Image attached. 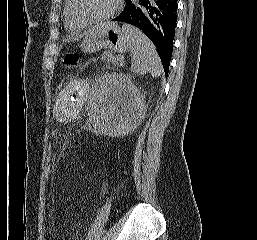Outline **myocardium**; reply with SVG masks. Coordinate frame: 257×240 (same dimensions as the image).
<instances>
[{"mask_svg":"<svg viewBox=\"0 0 257 240\" xmlns=\"http://www.w3.org/2000/svg\"><path fill=\"white\" fill-rule=\"evenodd\" d=\"M121 1L122 0H115L114 6L107 14H105L101 17H98V18L87 19V18H83L79 15V13L77 11V0H69L70 14H71V17L73 18V20L82 26L97 25V24L103 23V22L111 19L116 14V12L119 10V8L121 6Z\"/></svg>","mask_w":257,"mask_h":240,"instance_id":"1","label":"myocardium"}]
</instances>
